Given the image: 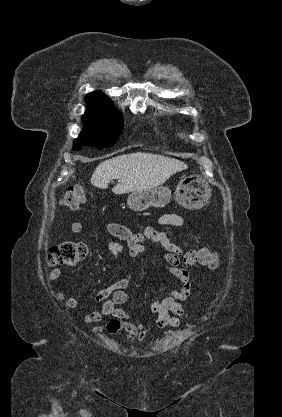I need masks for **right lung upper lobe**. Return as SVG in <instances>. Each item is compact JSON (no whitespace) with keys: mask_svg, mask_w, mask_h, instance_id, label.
Wrapping results in <instances>:
<instances>
[{"mask_svg":"<svg viewBox=\"0 0 282 417\" xmlns=\"http://www.w3.org/2000/svg\"><path fill=\"white\" fill-rule=\"evenodd\" d=\"M86 100H102V99H109L105 94H103L102 92H92L89 93L86 97Z\"/></svg>","mask_w":282,"mask_h":417,"instance_id":"cb5924a9","label":"right lung upper lobe"}]
</instances>
